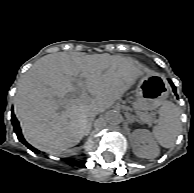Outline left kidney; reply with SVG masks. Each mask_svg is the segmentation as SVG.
<instances>
[{"label": "left kidney", "mask_w": 194, "mask_h": 193, "mask_svg": "<svg viewBox=\"0 0 194 193\" xmlns=\"http://www.w3.org/2000/svg\"><path fill=\"white\" fill-rule=\"evenodd\" d=\"M132 143L134 154L140 158L154 159L159 155V147L149 130L136 129Z\"/></svg>", "instance_id": "5707ae66"}]
</instances>
